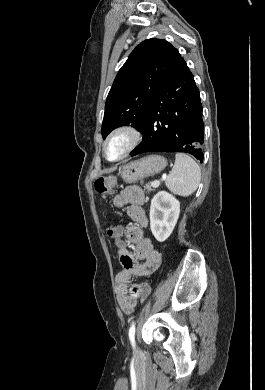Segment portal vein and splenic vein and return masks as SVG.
<instances>
[{
    "instance_id": "portal-vein-and-splenic-vein-1",
    "label": "portal vein and splenic vein",
    "mask_w": 265,
    "mask_h": 390,
    "mask_svg": "<svg viewBox=\"0 0 265 390\" xmlns=\"http://www.w3.org/2000/svg\"><path fill=\"white\" fill-rule=\"evenodd\" d=\"M160 185V181L159 180H155L154 182H153V186L154 187H158Z\"/></svg>"
}]
</instances>
